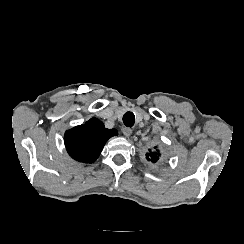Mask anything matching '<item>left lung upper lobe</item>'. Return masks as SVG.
Listing matches in <instances>:
<instances>
[{
    "mask_svg": "<svg viewBox=\"0 0 244 244\" xmlns=\"http://www.w3.org/2000/svg\"><path fill=\"white\" fill-rule=\"evenodd\" d=\"M156 151L149 150V153H146V158L148 161H151L153 163L157 162L160 157L159 150L155 147Z\"/></svg>",
    "mask_w": 244,
    "mask_h": 244,
    "instance_id": "left-lung-upper-lobe-1",
    "label": "left lung upper lobe"
}]
</instances>
